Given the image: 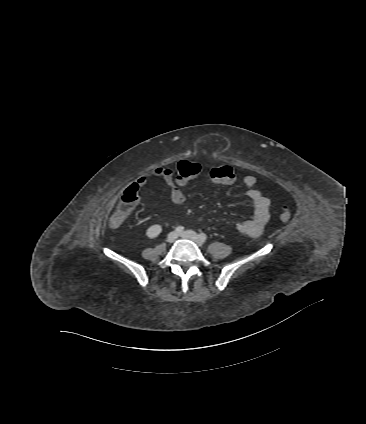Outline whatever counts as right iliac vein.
<instances>
[{"label":"right iliac vein","instance_id":"1","mask_svg":"<svg viewBox=\"0 0 366 424\" xmlns=\"http://www.w3.org/2000/svg\"><path fill=\"white\" fill-rule=\"evenodd\" d=\"M177 233L176 232H171V233H169L168 234V236H167V241L169 242V243H173L176 239H177Z\"/></svg>","mask_w":366,"mask_h":424}]
</instances>
